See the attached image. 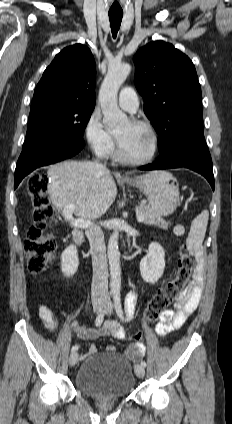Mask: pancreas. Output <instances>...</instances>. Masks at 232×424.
Returning a JSON list of instances; mask_svg holds the SVG:
<instances>
[{
    "label": "pancreas",
    "mask_w": 232,
    "mask_h": 424,
    "mask_svg": "<svg viewBox=\"0 0 232 424\" xmlns=\"http://www.w3.org/2000/svg\"><path fill=\"white\" fill-rule=\"evenodd\" d=\"M140 214L144 216L143 223L146 225H155L162 229H168L170 222H166L162 216L153 210L148 204H140L138 207Z\"/></svg>",
    "instance_id": "cf45deb5"
}]
</instances>
